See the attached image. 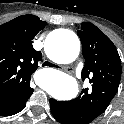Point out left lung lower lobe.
<instances>
[{
	"instance_id": "obj_1",
	"label": "left lung lower lobe",
	"mask_w": 124,
	"mask_h": 124,
	"mask_svg": "<svg viewBox=\"0 0 124 124\" xmlns=\"http://www.w3.org/2000/svg\"><path fill=\"white\" fill-rule=\"evenodd\" d=\"M51 112L54 118L61 124H73L70 120L66 101L50 99Z\"/></svg>"
}]
</instances>
